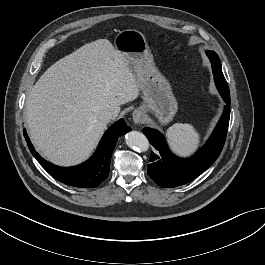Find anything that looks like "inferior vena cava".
I'll return each instance as SVG.
<instances>
[{"label":"inferior vena cava","instance_id":"602c4592","mask_svg":"<svg viewBox=\"0 0 265 265\" xmlns=\"http://www.w3.org/2000/svg\"><path fill=\"white\" fill-rule=\"evenodd\" d=\"M115 114L110 111V110H105V111H102L99 115V119L105 123H108L110 122L111 120H113L115 118Z\"/></svg>","mask_w":265,"mask_h":265}]
</instances>
